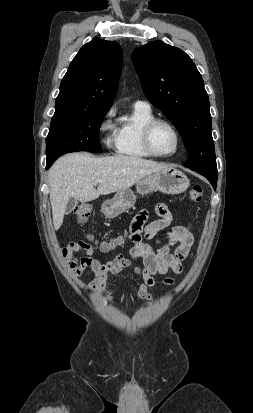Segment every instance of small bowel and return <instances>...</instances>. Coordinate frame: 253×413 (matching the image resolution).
<instances>
[{
  "label": "small bowel",
  "instance_id": "c3829d8e",
  "mask_svg": "<svg viewBox=\"0 0 253 413\" xmlns=\"http://www.w3.org/2000/svg\"><path fill=\"white\" fill-rule=\"evenodd\" d=\"M158 219L150 223L148 221V211H140L130 225V238L133 246L130 249V256L118 254L105 263L93 257V248L85 241L71 242L61 250V256L74 276H80L86 268H90L95 278L90 283V289L104 298L110 300V289L107 285L108 278L121 273L126 268H132L134 272L142 278V284L136 293H130L126 289L121 290L122 296H127L132 300L152 301L153 295L148 292V288L155 284L157 276H163L169 271L180 274L183 269V261L188 256L193 244L191 225L174 226L167 229L173 219L168 207L159 203L155 207ZM166 230L162 239H157V247L143 242V238L153 239L160 231ZM177 244L173 253H170V246ZM76 252L83 253L82 257H77ZM164 284L172 285L174 279L166 277Z\"/></svg>",
  "mask_w": 253,
  "mask_h": 413
}]
</instances>
